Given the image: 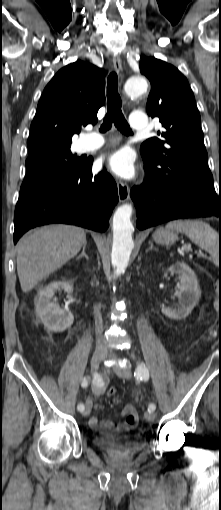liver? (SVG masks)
Segmentation results:
<instances>
[{"label":"liver","mask_w":221,"mask_h":510,"mask_svg":"<svg viewBox=\"0 0 221 510\" xmlns=\"http://www.w3.org/2000/svg\"><path fill=\"white\" fill-rule=\"evenodd\" d=\"M86 243L82 228L49 225L24 235L16 247L17 273L23 292L61 268Z\"/></svg>","instance_id":"obj_1"}]
</instances>
